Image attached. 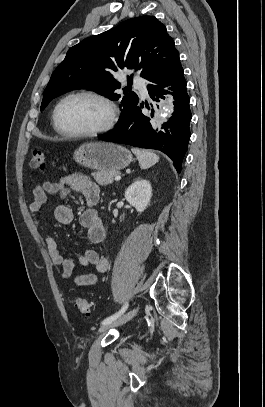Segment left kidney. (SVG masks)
Instances as JSON below:
<instances>
[{
	"label": "left kidney",
	"instance_id": "left-kidney-1",
	"mask_svg": "<svg viewBox=\"0 0 265 407\" xmlns=\"http://www.w3.org/2000/svg\"><path fill=\"white\" fill-rule=\"evenodd\" d=\"M152 188L149 181L140 179L133 182L125 191V199L141 213L151 199Z\"/></svg>",
	"mask_w": 265,
	"mask_h": 407
}]
</instances>
